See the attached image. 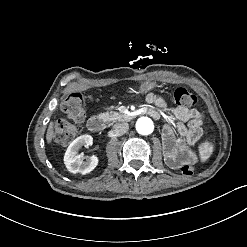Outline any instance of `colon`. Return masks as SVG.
<instances>
[{"label":"colon","mask_w":247,"mask_h":247,"mask_svg":"<svg viewBox=\"0 0 247 247\" xmlns=\"http://www.w3.org/2000/svg\"><path fill=\"white\" fill-rule=\"evenodd\" d=\"M175 102L179 105L194 106L197 104V97L188 92L184 87H177L174 90ZM61 111L66 118L57 122L55 141L59 145H67L76 137L78 125L81 124L86 116L82 96L74 91L64 98L61 103ZM194 171L192 165H182L180 172L184 175H190Z\"/></svg>","instance_id":"colon-1"}]
</instances>
